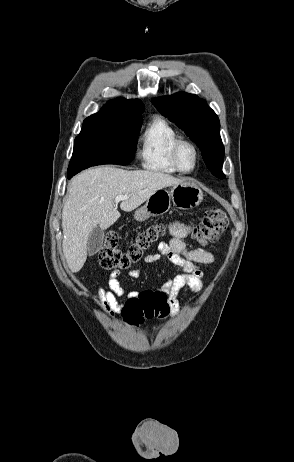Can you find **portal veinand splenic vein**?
Returning a JSON list of instances; mask_svg holds the SVG:
<instances>
[{
  "label": "portal vein and splenic vein",
  "mask_w": 294,
  "mask_h": 462,
  "mask_svg": "<svg viewBox=\"0 0 294 462\" xmlns=\"http://www.w3.org/2000/svg\"><path fill=\"white\" fill-rule=\"evenodd\" d=\"M130 196L129 195H119L115 198V203H118L122 200L128 199Z\"/></svg>",
  "instance_id": "1"
}]
</instances>
